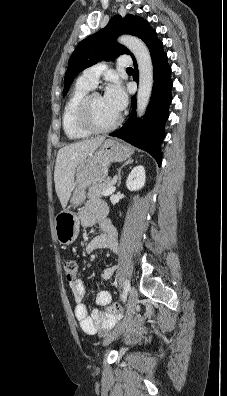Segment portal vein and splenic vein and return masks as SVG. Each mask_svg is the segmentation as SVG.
Segmentation results:
<instances>
[{
  "label": "portal vein and splenic vein",
  "mask_w": 227,
  "mask_h": 396,
  "mask_svg": "<svg viewBox=\"0 0 227 396\" xmlns=\"http://www.w3.org/2000/svg\"><path fill=\"white\" fill-rule=\"evenodd\" d=\"M115 189H116L115 186L112 185V186H110L108 189H106V190L103 192V195H105V196L110 195V194H112V193L115 192Z\"/></svg>",
  "instance_id": "portal-vein-and-splenic-vein-1"
}]
</instances>
